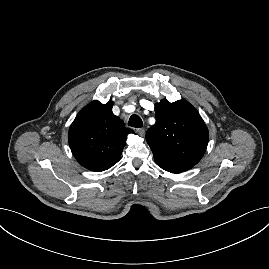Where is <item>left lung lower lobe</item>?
I'll return each mask as SVG.
<instances>
[{
    "label": "left lung lower lobe",
    "instance_id": "obj_1",
    "mask_svg": "<svg viewBox=\"0 0 269 269\" xmlns=\"http://www.w3.org/2000/svg\"><path fill=\"white\" fill-rule=\"evenodd\" d=\"M162 169L171 173H181L189 170L193 166L190 165H174V166H160Z\"/></svg>",
    "mask_w": 269,
    "mask_h": 269
}]
</instances>
